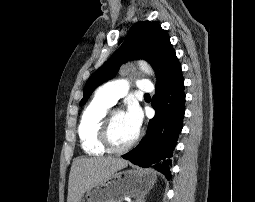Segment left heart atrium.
<instances>
[{"label": "left heart atrium", "mask_w": 255, "mask_h": 202, "mask_svg": "<svg viewBox=\"0 0 255 202\" xmlns=\"http://www.w3.org/2000/svg\"><path fill=\"white\" fill-rule=\"evenodd\" d=\"M125 119L127 123L130 125V127L138 133L141 125H142V112L140 108L134 104L131 103L128 105V108L126 112L124 113Z\"/></svg>", "instance_id": "39dd6f15"}]
</instances>
